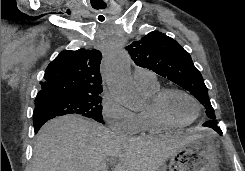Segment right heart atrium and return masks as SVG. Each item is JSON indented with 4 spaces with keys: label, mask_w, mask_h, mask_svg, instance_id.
Instances as JSON below:
<instances>
[{
    "label": "right heart atrium",
    "mask_w": 245,
    "mask_h": 171,
    "mask_svg": "<svg viewBox=\"0 0 245 171\" xmlns=\"http://www.w3.org/2000/svg\"><path fill=\"white\" fill-rule=\"evenodd\" d=\"M102 116L109 128L116 133L133 135L139 131L137 114L125 108L109 93L102 101Z\"/></svg>",
    "instance_id": "1"
}]
</instances>
